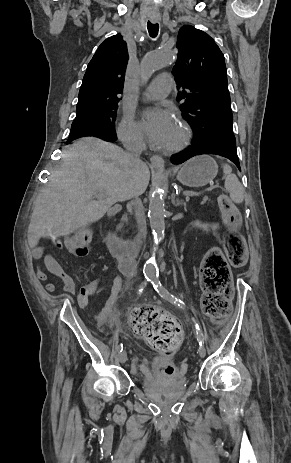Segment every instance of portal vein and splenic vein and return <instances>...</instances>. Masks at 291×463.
Returning a JSON list of instances; mask_svg holds the SVG:
<instances>
[{
  "mask_svg": "<svg viewBox=\"0 0 291 463\" xmlns=\"http://www.w3.org/2000/svg\"><path fill=\"white\" fill-rule=\"evenodd\" d=\"M184 194L189 197V196H198L199 193L197 192H192V191H184Z\"/></svg>",
  "mask_w": 291,
  "mask_h": 463,
  "instance_id": "18ae733b",
  "label": "portal vein and splenic vein"
}]
</instances>
